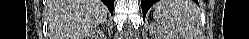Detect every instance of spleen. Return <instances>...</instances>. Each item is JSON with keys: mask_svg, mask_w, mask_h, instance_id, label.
Returning <instances> with one entry per match:
<instances>
[{"mask_svg": "<svg viewBox=\"0 0 249 39\" xmlns=\"http://www.w3.org/2000/svg\"><path fill=\"white\" fill-rule=\"evenodd\" d=\"M153 16L164 30L185 39H198L202 33L199 8L191 0H161L154 5Z\"/></svg>", "mask_w": 249, "mask_h": 39, "instance_id": "1", "label": "spleen"}]
</instances>
